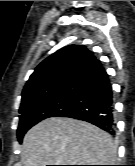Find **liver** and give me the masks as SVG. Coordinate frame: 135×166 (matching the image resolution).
I'll use <instances>...</instances> for the list:
<instances>
[{
    "label": "liver",
    "instance_id": "6515ba94",
    "mask_svg": "<svg viewBox=\"0 0 135 166\" xmlns=\"http://www.w3.org/2000/svg\"><path fill=\"white\" fill-rule=\"evenodd\" d=\"M117 146L112 137L88 122L51 117L24 136L23 166L113 165Z\"/></svg>",
    "mask_w": 135,
    "mask_h": 166
}]
</instances>
